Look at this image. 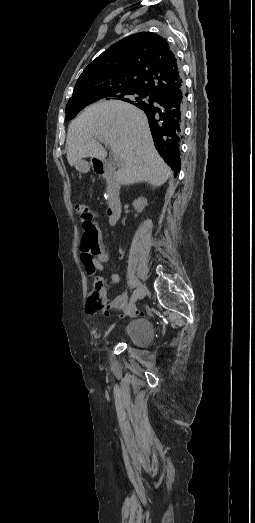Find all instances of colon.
Listing matches in <instances>:
<instances>
[{
  "instance_id": "5ec220e1",
  "label": "colon",
  "mask_w": 255,
  "mask_h": 523,
  "mask_svg": "<svg viewBox=\"0 0 255 523\" xmlns=\"http://www.w3.org/2000/svg\"><path fill=\"white\" fill-rule=\"evenodd\" d=\"M75 210L81 220V222H89L92 219V213L85 203H78L75 205ZM104 284L101 279L96 281L95 292L90 301L91 311H102L106 312L108 309L113 308L117 305L116 302L105 303L103 300Z\"/></svg>"
}]
</instances>
